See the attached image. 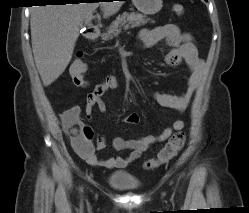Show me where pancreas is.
Returning a JSON list of instances; mask_svg holds the SVG:
<instances>
[{"mask_svg":"<svg viewBox=\"0 0 249 213\" xmlns=\"http://www.w3.org/2000/svg\"><path fill=\"white\" fill-rule=\"evenodd\" d=\"M149 19H146V16L137 13V12H124L122 15L116 17L115 21L111 23L107 31L101 35L102 40L113 39L119 35L122 29L127 30L130 28L140 27L145 25Z\"/></svg>","mask_w":249,"mask_h":213,"instance_id":"pancreas-1","label":"pancreas"}]
</instances>
